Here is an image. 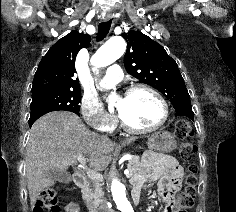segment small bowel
<instances>
[{"label": "small bowel", "mask_w": 236, "mask_h": 212, "mask_svg": "<svg viewBox=\"0 0 236 212\" xmlns=\"http://www.w3.org/2000/svg\"><path fill=\"white\" fill-rule=\"evenodd\" d=\"M181 175L182 168L173 157L151 154L144 169L133 180L134 190L141 191L148 181L160 179L162 186L160 194L167 203L165 212H174L172 189L178 185ZM63 212H79V207L75 203H69L63 208Z\"/></svg>", "instance_id": "1"}]
</instances>
